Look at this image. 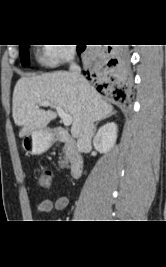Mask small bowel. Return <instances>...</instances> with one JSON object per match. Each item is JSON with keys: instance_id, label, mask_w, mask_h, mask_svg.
Segmentation results:
<instances>
[{"instance_id": "obj_1", "label": "small bowel", "mask_w": 166, "mask_h": 267, "mask_svg": "<svg viewBox=\"0 0 166 267\" xmlns=\"http://www.w3.org/2000/svg\"><path fill=\"white\" fill-rule=\"evenodd\" d=\"M68 205V198L66 196H60L56 198L54 201L50 199L42 200L38 204V211L41 213H48L52 210L62 211Z\"/></svg>"}]
</instances>
